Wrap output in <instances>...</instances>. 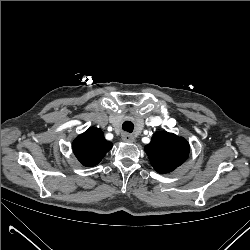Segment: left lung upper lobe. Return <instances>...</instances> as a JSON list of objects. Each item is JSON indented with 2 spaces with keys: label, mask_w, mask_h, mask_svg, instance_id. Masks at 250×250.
Masks as SVG:
<instances>
[{
  "label": "left lung upper lobe",
  "mask_w": 250,
  "mask_h": 250,
  "mask_svg": "<svg viewBox=\"0 0 250 250\" xmlns=\"http://www.w3.org/2000/svg\"><path fill=\"white\" fill-rule=\"evenodd\" d=\"M145 152L155 171L169 173L187 159L190 147L185 138L166 131H159L145 146Z\"/></svg>",
  "instance_id": "1"
}]
</instances>
